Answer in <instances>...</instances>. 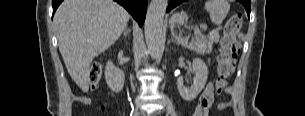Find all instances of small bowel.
<instances>
[{
	"mask_svg": "<svg viewBox=\"0 0 305 116\" xmlns=\"http://www.w3.org/2000/svg\"><path fill=\"white\" fill-rule=\"evenodd\" d=\"M215 103V96H214V88L211 82H208L206 87L204 88L196 109L194 111L193 116H209V112ZM227 106L225 103L219 104V109H223Z\"/></svg>",
	"mask_w": 305,
	"mask_h": 116,
	"instance_id": "small-bowel-1",
	"label": "small bowel"
}]
</instances>
